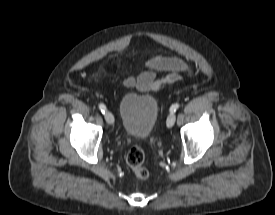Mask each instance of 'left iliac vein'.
I'll return each mask as SVG.
<instances>
[{
	"instance_id": "left-iliac-vein-1",
	"label": "left iliac vein",
	"mask_w": 275,
	"mask_h": 215,
	"mask_svg": "<svg viewBox=\"0 0 275 215\" xmlns=\"http://www.w3.org/2000/svg\"><path fill=\"white\" fill-rule=\"evenodd\" d=\"M175 120H176L175 114L173 112L170 113L166 121L167 128H172L175 123Z\"/></svg>"
}]
</instances>
